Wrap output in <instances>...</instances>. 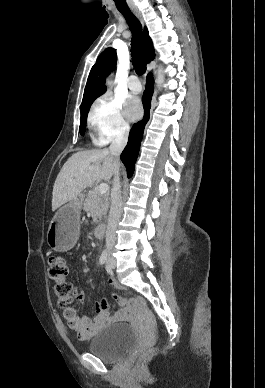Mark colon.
Returning a JSON list of instances; mask_svg holds the SVG:
<instances>
[{"mask_svg":"<svg viewBox=\"0 0 265 388\" xmlns=\"http://www.w3.org/2000/svg\"><path fill=\"white\" fill-rule=\"evenodd\" d=\"M68 267L66 260L60 256L50 258L48 264V277L53 281L54 293L58 298L59 305L66 307L73 301L74 287L66 280ZM143 353L142 348L133 350L131 357L138 358Z\"/></svg>","mask_w":265,"mask_h":388,"instance_id":"colon-1","label":"colon"}]
</instances>
